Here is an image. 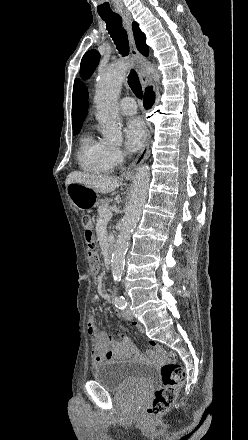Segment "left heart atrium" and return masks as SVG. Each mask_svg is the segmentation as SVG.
I'll return each mask as SVG.
<instances>
[{
  "label": "left heart atrium",
  "instance_id": "1",
  "mask_svg": "<svg viewBox=\"0 0 248 440\" xmlns=\"http://www.w3.org/2000/svg\"><path fill=\"white\" fill-rule=\"evenodd\" d=\"M124 137L129 152H136L141 148L146 137V129L140 118L134 117L127 122L124 128Z\"/></svg>",
  "mask_w": 248,
  "mask_h": 440
}]
</instances>
